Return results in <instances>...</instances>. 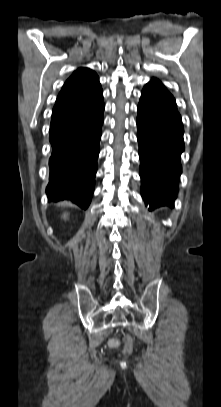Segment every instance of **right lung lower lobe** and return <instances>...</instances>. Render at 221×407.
Returning <instances> with one entry per match:
<instances>
[{
  "label": "right lung lower lobe",
  "instance_id": "right-lung-lower-lobe-1",
  "mask_svg": "<svg viewBox=\"0 0 221 407\" xmlns=\"http://www.w3.org/2000/svg\"><path fill=\"white\" fill-rule=\"evenodd\" d=\"M101 86L59 101L53 108L49 140L50 201L69 200L86 209L92 198L103 123Z\"/></svg>",
  "mask_w": 221,
  "mask_h": 407
}]
</instances>
